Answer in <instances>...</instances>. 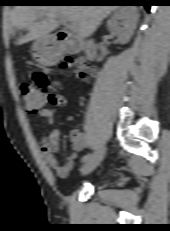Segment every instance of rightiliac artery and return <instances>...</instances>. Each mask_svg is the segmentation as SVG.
I'll return each mask as SVG.
<instances>
[{
  "label": "right iliac artery",
  "instance_id": "right-iliac-artery-1",
  "mask_svg": "<svg viewBox=\"0 0 170 231\" xmlns=\"http://www.w3.org/2000/svg\"><path fill=\"white\" fill-rule=\"evenodd\" d=\"M92 156H93V154H87V155L83 156L82 162L86 163Z\"/></svg>",
  "mask_w": 170,
  "mask_h": 231
}]
</instances>
